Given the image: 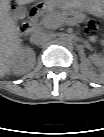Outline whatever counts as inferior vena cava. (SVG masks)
Instances as JSON below:
<instances>
[{
	"label": "inferior vena cava",
	"instance_id": "602c4592",
	"mask_svg": "<svg viewBox=\"0 0 104 137\" xmlns=\"http://www.w3.org/2000/svg\"><path fill=\"white\" fill-rule=\"evenodd\" d=\"M30 40L35 45H41L48 40V35L43 31H36L31 35Z\"/></svg>",
	"mask_w": 104,
	"mask_h": 137
}]
</instances>
